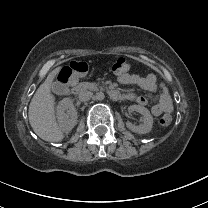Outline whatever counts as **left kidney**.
<instances>
[{
  "label": "left kidney",
  "mask_w": 208,
  "mask_h": 208,
  "mask_svg": "<svg viewBox=\"0 0 208 208\" xmlns=\"http://www.w3.org/2000/svg\"><path fill=\"white\" fill-rule=\"evenodd\" d=\"M133 111L139 112L140 114L143 115V124L136 126L132 124L131 122H127L126 123L127 128L139 134H145V133L150 132L153 126V117L150 114V111L147 108L140 106V105L129 106L128 112L131 113Z\"/></svg>",
  "instance_id": "5707ae66"
}]
</instances>
